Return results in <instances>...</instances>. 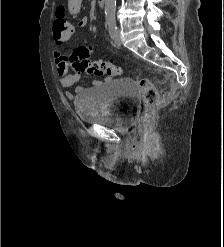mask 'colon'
<instances>
[{
	"label": "colon",
	"instance_id": "colon-1",
	"mask_svg": "<svg viewBox=\"0 0 224 247\" xmlns=\"http://www.w3.org/2000/svg\"><path fill=\"white\" fill-rule=\"evenodd\" d=\"M76 34L74 25L67 19L64 7L60 6L56 11V17L53 22V37L62 41L71 40ZM92 49L82 46L73 51L69 57L71 67L76 73H85L95 76H119L122 70L110 61L89 59ZM139 89L144 105L140 127L147 126L155 113V107L158 104L159 96L153 83L143 78L139 81Z\"/></svg>",
	"mask_w": 224,
	"mask_h": 247
}]
</instances>
